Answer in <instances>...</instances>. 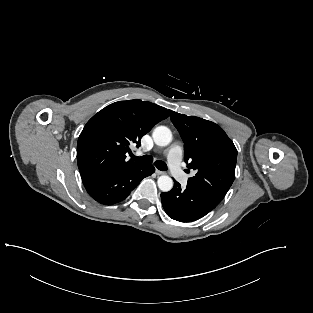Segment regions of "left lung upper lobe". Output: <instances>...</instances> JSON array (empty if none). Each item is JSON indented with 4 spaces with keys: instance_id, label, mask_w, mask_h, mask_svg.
Segmentation results:
<instances>
[{
    "instance_id": "obj_1",
    "label": "left lung upper lobe",
    "mask_w": 313,
    "mask_h": 313,
    "mask_svg": "<svg viewBox=\"0 0 313 313\" xmlns=\"http://www.w3.org/2000/svg\"><path fill=\"white\" fill-rule=\"evenodd\" d=\"M170 118L184 142L187 167L196 171L188 185L224 198L235 178L237 149L217 124L170 110Z\"/></svg>"
}]
</instances>
